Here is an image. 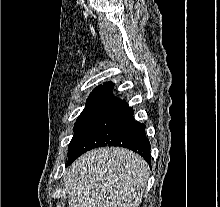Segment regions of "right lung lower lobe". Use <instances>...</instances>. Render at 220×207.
Wrapping results in <instances>:
<instances>
[{
	"label": "right lung lower lobe",
	"instance_id": "right-lung-lower-lobe-1",
	"mask_svg": "<svg viewBox=\"0 0 220 207\" xmlns=\"http://www.w3.org/2000/svg\"><path fill=\"white\" fill-rule=\"evenodd\" d=\"M113 83L101 86L98 96L83 124L74 135L68 148V162L88 150L100 146H121L139 153L151 161V145L145 135V125L135 121L133 109L112 95Z\"/></svg>",
	"mask_w": 220,
	"mask_h": 207
}]
</instances>
